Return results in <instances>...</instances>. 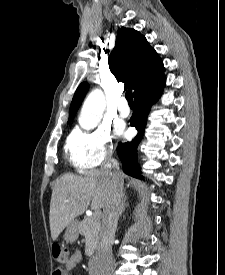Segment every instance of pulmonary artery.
<instances>
[{
  "label": "pulmonary artery",
  "mask_w": 225,
  "mask_h": 275,
  "mask_svg": "<svg viewBox=\"0 0 225 275\" xmlns=\"http://www.w3.org/2000/svg\"><path fill=\"white\" fill-rule=\"evenodd\" d=\"M117 114L121 117H127L130 114V109L125 99H121L117 109Z\"/></svg>",
  "instance_id": "obj_1"
}]
</instances>
